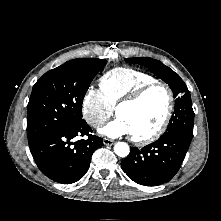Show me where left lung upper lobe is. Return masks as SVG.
Instances as JSON below:
<instances>
[{"label": "left lung upper lobe", "instance_id": "obj_1", "mask_svg": "<svg viewBox=\"0 0 221 221\" xmlns=\"http://www.w3.org/2000/svg\"><path fill=\"white\" fill-rule=\"evenodd\" d=\"M125 60L129 63H138L147 67L172 89L176 98L175 110L164 135L179 134L192 139L194 111L192 109L191 96L187 86L179 75L162 62L150 57L127 58Z\"/></svg>", "mask_w": 221, "mask_h": 221}]
</instances>
